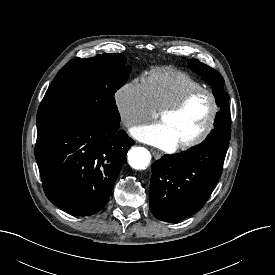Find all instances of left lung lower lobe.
Masks as SVG:
<instances>
[{"label": "left lung lower lobe", "instance_id": "1", "mask_svg": "<svg viewBox=\"0 0 275 275\" xmlns=\"http://www.w3.org/2000/svg\"><path fill=\"white\" fill-rule=\"evenodd\" d=\"M228 146L229 140L211 138L152 164L149 196L153 215L177 222L199 211L222 174Z\"/></svg>", "mask_w": 275, "mask_h": 275}]
</instances>
